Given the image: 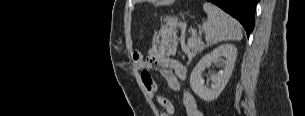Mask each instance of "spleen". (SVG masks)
I'll return each instance as SVG.
<instances>
[{"mask_svg":"<svg viewBox=\"0 0 305 116\" xmlns=\"http://www.w3.org/2000/svg\"><path fill=\"white\" fill-rule=\"evenodd\" d=\"M203 9L207 14V22L203 24L207 44L242 39L241 25L236 19L209 2L204 3Z\"/></svg>","mask_w":305,"mask_h":116,"instance_id":"obj_1","label":"spleen"}]
</instances>
